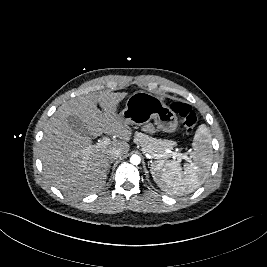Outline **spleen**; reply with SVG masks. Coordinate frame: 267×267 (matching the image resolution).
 Masks as SVG:
<instances>
[{
  "mask_svg": "<svg viewBox=\"0 0 267 267\" xmlns=\"http://www.w3.org/2000/svg\"><path fill=\"white\" fill-rule=\"evenodd\" d=\"M205 124L198 127L188 163L181 167L179 161H155L150 171L154 181L171 195H184L197 189L207 178L212 165V143Z\"/></svg>",
  "mask_w": 267,
  "mask_h": 267,
  "instance_id": "spleen-1",
  "label": "spleen"
}]
</instances>
